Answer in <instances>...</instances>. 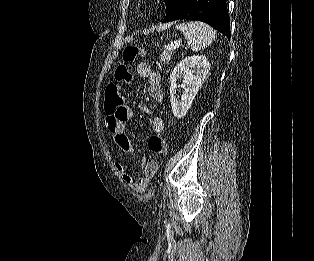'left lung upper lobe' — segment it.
<instances>
[{"label":"left lung upper lobe","mask_w":314,"mask_h":261,"mask_svg":"<svg viewBox=\"0 0 314 261\" xmlns=\"http://www.w3.org/2000/svg\"><path fill=\"white\" fill-rule=\"evenodd\" d=\"M166 4V17L164 22H168L178 11L184 0H164Z\"/></svg>","instance_id":"obj_1"}]
</instances>
